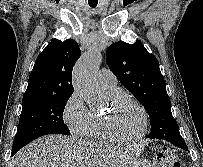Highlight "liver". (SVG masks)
Here are the masks:
<instances>
[{
  "instance_id": "1",
  "label": "liver",
  "mask_w": 203,
  "mask_h": 167,
  "mask_svg": "<svg viewBox=\"0 0 203 167\" xmlns=\"http://www.w3.org/2000/svg\"><path fill=\"white\" fill-rule=\"evenodd\" d=\"M136 155L73 136L47 135L17 152L8 167H130Z\"/></svg>"
}]
</instances>
